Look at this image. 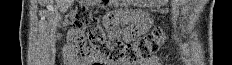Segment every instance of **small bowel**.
<instances>
[{"label": "small bowel", "mask_w": 232, "mask_h": 65, "mask_svg": "<svg viewBox=\"0 0 232 65\" xmlns=\"http://www.w3.org/2000/svg\"><path fill=\"white\" fill-rule=\"evenodd\" d=\"M118 21H133V23H118ZM106 28V37H123L121 43L135 45L137 37H146L149 34L151 20L149 12H106L103 21ZM122 28V29H121ZM80 31L71 29L68 33V44L65 46V58L68 62L76 61L75 44L80 36ZM119 65H129L120 63ZM133 65H161L157 55L140 59Z\"/></svg>", "instance_id": "c3829d8e"}]
</instances>
